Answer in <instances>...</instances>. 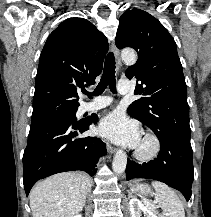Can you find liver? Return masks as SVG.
Listing matches in <instances>:
<instances>
[{
  "label": "liver",
  "instance_id": "liver-1",
  "mask_svg": "<svg viewBox=\"0 0 211 217\" xmlns=\"http://www.w3.org/2000/svg\"><path fill=\"white\" fill-rule=\"evenodd\" d=\"M91 188L83 173L65 172L37 183L29 194L33 217H73L81 212Z\"/></svg>",
  "mask_w": 211,
  "mask_h": 217
}]
</instances>
